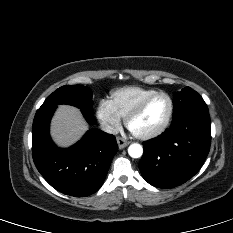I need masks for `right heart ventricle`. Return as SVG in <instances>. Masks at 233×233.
<instances>
[{
  "label": "right heart ventricle",
  "instance_id": "right-heart-ventricle-1",
  "mask_svg": "<svg viewBox=\"0 0 233 233\" xmlns=\"http://www.w3.org/2000/svg\"><path fill=\"white\" fill-rule=\"evenodd\" d=\"M155 92H157L155 89L127 86L114 90L109 102L116 113L121 118H125L140 101Z\"/></svg>",
  "mask_w": 233,
  "mask_h": 233
}]
</instances>
